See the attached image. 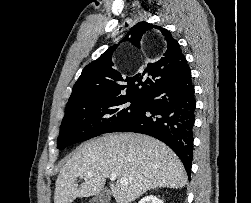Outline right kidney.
<instances>
[{"mask_svg": "<svg viewBox=\"0 0 251 203\" xmlns=\"http://www.w3.org/2000/svg\"><path fill=\"white\" fill-rule=\"evenodd\" d=\"M138 203H163V201L156 196L149 195L142 198Z\"/></svg>", "mask_w": 251, "mask_h": 203, "instance_id": "obj_1", "label": "right kidney"}]
</instances>
